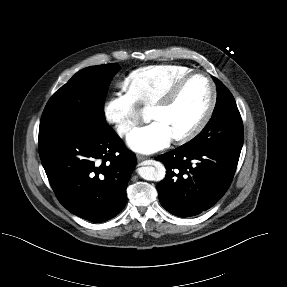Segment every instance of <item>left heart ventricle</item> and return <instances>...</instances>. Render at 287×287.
<instances>
[{
    "label": "left heart ventricle",
    "mask_w": 287,
    "mask_h": 287,
    "mask_svg": "<svg viewBox=\"0 0 287 287\" xmlns=\"http://www.w3.org/2000/svg\"><path fill=\"white\" fill-rule=\"evenodd\" d=\"M210 101V88L202 77L189 80L175 101L164 109H151L149 118L162 122L172 136L190 130L203 116Z\"/></svg>",
    "instance_id": "obj_1"
}]
</instances>
